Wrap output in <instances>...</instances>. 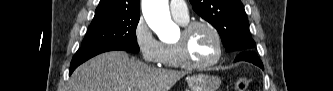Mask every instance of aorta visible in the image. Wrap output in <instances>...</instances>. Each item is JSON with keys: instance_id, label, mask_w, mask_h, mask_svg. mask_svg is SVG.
I'll use <instances>...</instances> for the list:
<instances>
[{"instance_id": "762f6f07", "label": "aorta", "mask_w": 333, "mask_h": 91, "mask_svg": "<svg viewBox=\"0 0 333 91\" xmlns=\"http://www.w3.org/2000/svg\"><path fill=\"white\" fill-rule=\"evenodd\" d=\"M142 12L147 24L160 40L166 41L178 32L170 16L168 0H143Z\"/></svg>"}]
</instances>
